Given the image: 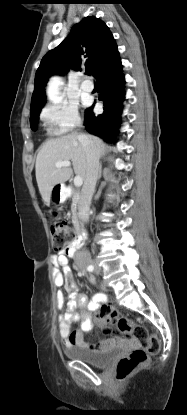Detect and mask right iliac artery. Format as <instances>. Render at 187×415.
I'll return each mask as SVG.
<instances>
[{"label": "right iliac artery", "mask_w": 187, "mask_h": 415, "mask_svg": "<svg viewBox=\"0 0 187 415\" xmlns=\"http://www.w3.org/2000/svg\"><path fill=\"white\" fill-rule=\"evenodd\" d=\"M87 269H88L89 272H92L94 270V267L92 265H90V266H88Z\"/></svg>", "instance_id": "obj_1"}]
</instances>
